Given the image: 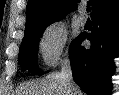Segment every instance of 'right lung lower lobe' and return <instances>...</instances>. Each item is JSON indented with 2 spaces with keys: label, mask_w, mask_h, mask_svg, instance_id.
Wrapping results in <instances>:
<instances>
[{
  "label": "right lung lower lobe",
  "mask_w": 119,
  "mask_h": 95,
  "mask_svg": "<svg viewBox=\"0 0 119 95\" xmlns=\"http://www.w3.org/2000/svg\"><path fill=\"white\" fill-rule=\"evenodd\" d=\"M90 34H80L70 45L73 79L87 95H109L113 59L119 56V7L92 19ZM91 47L81 46L83 39Z\"/></svg>",
  "instance_id": "1"
}]
</instances>
